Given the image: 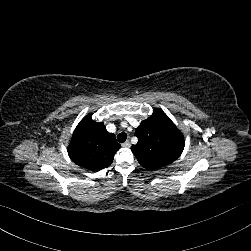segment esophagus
Returning a JSON list of instances; mask_svg holds the SVG:
<instances>
[{
	"label": "esophagus",
	"mask_w": 251,
	"mask_h": 251,
	"mask_svg": "<svg viewBox=\"0 0 251 251\" xmlns=\"http://www.w3.org/2000/svg\"><path fill=\"white\" fill-rule=\"evenodd\" d=\"M123 147H130V141L127 140L122 144Z\"/></svg>",
	"instance_id": "esophagus-1"
}]
</instances>
